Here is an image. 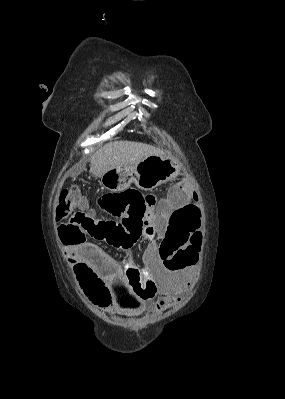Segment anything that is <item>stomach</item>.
Listing matches in <instances>:
<instances>
[{
	"label": "stomach",
	"mask_w": 285,
	"mask_h": 399,
	"mask_svg": "<svg viewBox=\"0 0 285 399\" xmlns=\"http://www.w3.org/2000/svg\"><path fill=\"white\" fill-rule=\"evenodd\" d=\"M179 174V167L164 155H150L131 167H115L101 176V184L111 192H120L134 183L139 189L150 191L171 181Z\"/></svg>",
	"instance_id": "stomach-1"
}]
</instances>
